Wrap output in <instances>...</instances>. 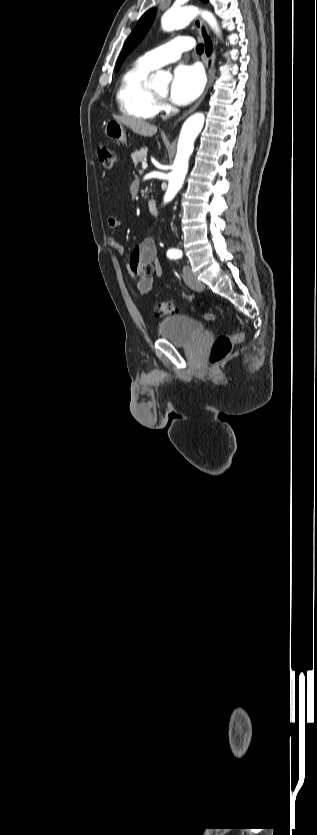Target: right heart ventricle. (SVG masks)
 I'll use <instances>...</instances> for the list:
<instances>
[{
  "mask_svg": "<svg viewBox=\"0 0 317 835\" xmlns=\"http://www.w3.org/2000/svg\"><path fill=\"white\" fill-rule=\"evenodd\" d=\"M153 69L142 59H138L123 73L116 99L124 115L148 120L159 112V100L148 86V77Z\"/></svg>",
  "mask_w": 317,
  "mask_h": 835,
  "instance_id": "e07e8e85",
  "label": "right heart ventricle"
}]
</instances>
